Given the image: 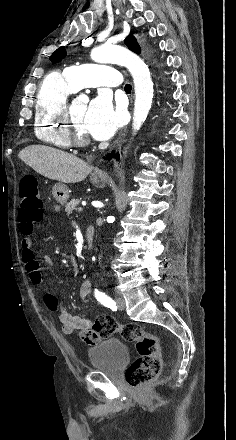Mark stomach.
I'll return each instance as SVG.
<instances>
[{
    "mask_svg": "<svg viewBox=\"0 0 236 440\" xmlns=\"http://www.w3.org/2000/svg\"><path fill=\"white\" fill-rule=\"evenodd\" d=\"M106 180H107L106 174L101 171L94 172L90 176L91 183L98 188H103L105 186ZM52 194L54 199L60 205H64L69 199V189L63 183L55 184L52 189Z\"/></svg>",
    "mask_w": 236,
    "mask_h": 440,
    "instance_id": "1",
    "label": "stomach"
}]
</instances>
